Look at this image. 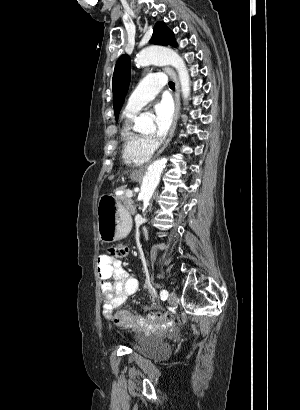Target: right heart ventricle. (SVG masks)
Segmentation results:
<instances>
[{
	"instance_id": "1",
	"label": "right heart ventricle",
	"mask_w": 300,
	"mask_h": 410,
	"mask_svg": "<svg viewBox=\"0 0 300 410\" xmlns=\"http://www.w3.org/2000/svg\"><path fill=\"white\" fill-rule=\"evenodd\" d=\"M136 112L125 111L121 127L122 159L126 164H142L147 162L152 150L146 144V138L132 127V119Z\"/></svg>"
}]
</instances>
